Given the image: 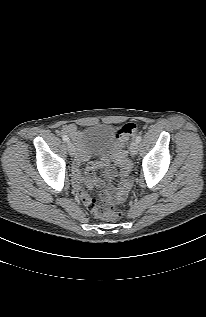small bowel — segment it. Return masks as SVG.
Here are the masks:
<instances>
[{"mask_svg":"<svg viewBox=\"0 0 206 317\" xmlns=\"http://www.w3.org/2000/svg\"><path fill=\"white\" fill-rule=\"evenodd\" d=\"M62 133L67 134L73 140L80 143V132L75 125L69 124L62 128ZM89 159L88 151L80 144L79 149L73 164V174L75 188L83 201V203L90 209L94 199H92L86 189H90L93 186H102L103 182L94 175V171L98 166H104L106 174L109 177L115 175V169L106 160H102L100 163L88 162L84 168L82 164ZM123 179L117 191L113 187H109L106 192V197L114 196L117 201H122L131 185V179L129 175L122 174Z\"/></svg>","mask_w":206,"mask_h":317,"instance_id":"1","label":"small bowel"}]
</instances>
